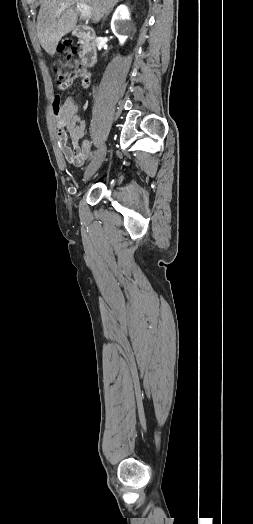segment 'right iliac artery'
Here are the masks:
<instances>
[{
    "instance_id": "right-iliac-artery-1",
    "label": "right iliac artery",
    "mask_w": 253,
    "mask_h": 524,
    "mask_svg": "<svg viewBox=\"0 0 253 524\" xmlns=\"http://www.w3.org/2000/svg\"><path fill=\"white\" fill-rule=\"evenodd\" d=\"M95 154H96V153H95L94 151H92V152L90 153V157H89V159L91 160L92 158H94Z\"/></svg>"
}]
</instances>
